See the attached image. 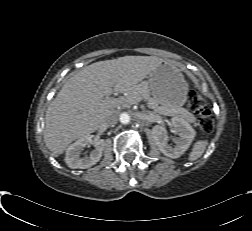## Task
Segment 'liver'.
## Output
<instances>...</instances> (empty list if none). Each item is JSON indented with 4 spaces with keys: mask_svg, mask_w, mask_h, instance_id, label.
<instances>
[{
    "mask_svg": "<svg viewBox=\"0 0 252 231\" xmlns=\"http://www.w3.org/2000/svg\"><path fill=\"white\" fill-rule=\"evenodd\" d=\"M161 62L156 56H124L92 63L70 77L46 111L47 148L60 155L73 141L96 131L119 105L104 98L113 92L133 93Z\"/></svg>",
    "mask_w": 252,
    "mask_h": 231,
    "instance_id": "liver-1",
    "label": "liver"
}]
</instances>
